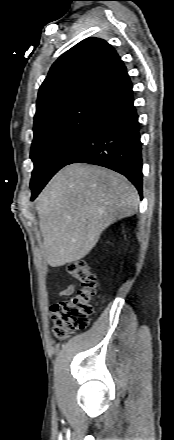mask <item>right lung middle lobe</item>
I'll return each instance as SVG.
<instances>
[{"label":"right lung middle lobe","mask_w":174,"mask_h":440,"mask_svg":"<svg viewBox=\"0 0 174 440\" xmlns=\"http://www.w3.org/2000/svg\"><path fill=\"white\" fill-rule=\"evenodd\" d=\"M97 102V94L80 97L34 122L31 189L46 184L75 155L85 138Z\"/></svg>","instance_id":"dd1d6c3e"}]
</instances>
